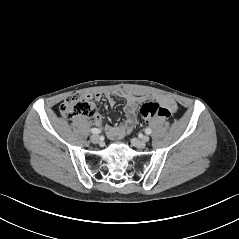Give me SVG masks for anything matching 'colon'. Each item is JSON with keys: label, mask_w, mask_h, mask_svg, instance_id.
<instances>
[{"label": "colon", "mask_w": 239, "mask_h": 239, "mask_svg": "<svg viewBox=\"0 0 239 239\" xmlns=\"http://www.w3.org/2000/svg\"><path fill=\"white\" fill-rule=\"evenodd\" d=\"M61 114L72 119L76 116H91L95 113V106L88 95L73 94L67 97L60 106ZM141 115L150 120L154 117L167 118L170 112L158 102H147L141 106Z\"/></svg>", "instance_id": "5ec220e1"}]
</instances>
